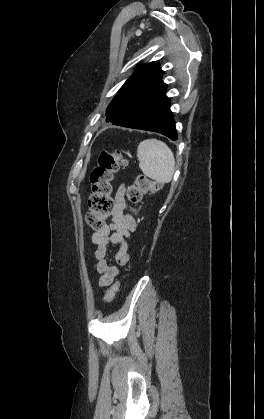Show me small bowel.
<instances>
[{
	"instance_id": "small-bowel-1",
	"label": "small bowel",
	"mask_w": 264,
	"mask_h": 419,
	"mask_svg": "<svg viewBox=\"0 0 264 419\" xmlns=\"http://www.w3.org/2000/svg\"><path fill=\"white\" fill-rule=\"evenodd\" d=\"M125 185H120L115 195V207L110 215V222L91 237L95 246L93 258L97 260L96 272L99 275V285L107 287L119 275L117 266L111 265L107 259L108 247L118 245L115 260L119 266H125L130 261L129 243L130 234L136 229L135 220L126 213Z\"/></svg>"
}]
</instances>
